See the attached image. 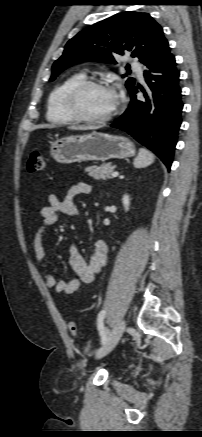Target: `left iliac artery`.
I'll use <instances>...</instances> for the list:
<instances>
[{
    "instance_id": "1",
    "label": "left iliac artery",
    "mask_w": 202,
    "mask_h": 437,
    "mask_svg": "<svg viewBox=\"0 0 202 437\" xmlns=\"http://www.w3.org/2000/svg\"><path fill=\"white\" fill-rule=\"evenodd\" d=\"M106 315V311L102 310L99 314H98V318H97V326H98V330L101 336V343L104 344L107 340V332L105 330L104 327V318Z\"/></svg>"
}]
</instances>
